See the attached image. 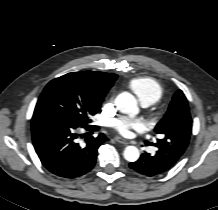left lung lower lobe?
<instances>
[{
    "mask_svg": "<svg viewBox=\"0 0 218 210\" xmlns=\"http://www.w3.org/2000/svg\"><path fill=\"white\" fill-rule=\"evenodd\" d=\"M155 146L158 148L155 153H143L136 162L129 164L130 168L138 173L154 176L169 170L182 156L179 152L165 154L160 147Z\"/></svg>",
    "mask_w": 218,
    "mask_h": 210,
    "instance_id": "0a47b994",
    "label": "left lung lower lobe"
}]
</instances>
